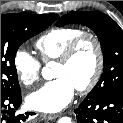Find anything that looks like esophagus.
Wrapping results in <instances>:
<instances>
[{
	"label": "esophagus",
	"mask_w": 123,
	"mask_h": 123,
	"mask_svg": "<svg viewBox=\"0 0 123 123\" xmlns=\"http://www.w3.org/2000/svg\"><path fill=\"white\" fill-rule=\"evenodd\" d=\"M41 116L46 120H55L59 115L57 114H41Z\"/></svg>",
	"instance_id": "34e87169"
}]
</instances>
